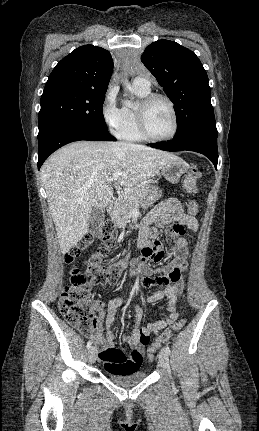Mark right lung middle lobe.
Returning <instances> with one entry per match:
<instances>
[{"instance_id": "right-lung-middle-lobe-1", "label": "right lung middle lobe", "mask_w": 259, "mask_h": 431, "mask_svg": "<svg viewBox=\"0 0 259 431\" xmlns=\"http://www.w3.org/2000/svg\"><path fill=\"white\" fill-rule=\"evenodd\" d=\"M105 93L60 87L44 91L38 119L39 133L52 124L62 122L107 130L102 112Z\"/></svg>"}]
</instances>
